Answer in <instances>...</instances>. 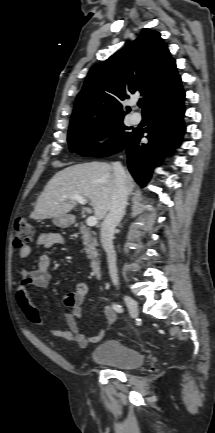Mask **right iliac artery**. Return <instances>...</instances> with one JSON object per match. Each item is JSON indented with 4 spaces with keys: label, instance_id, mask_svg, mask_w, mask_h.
I'll use <instances>...</instances> for the list:
<instances>
[{
    "label": "right iliac artery",
    "instance_id": "1",
    "mask_svg": "<svg viewBox=\"0 0 215 433\" xmlns=\"http://www.w3.org/2000/svg\"><path fill=\"white\" fill-rule=\"evenodd\" d=\"M113 309L118 313H122L124 311L123 307L119 304H113Z\"/></svg>",
    "mask_w": 215,
    "mask_h": 433
}]
</instances>
